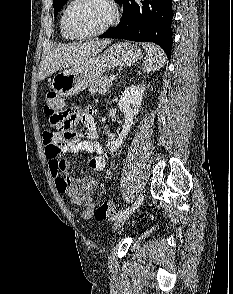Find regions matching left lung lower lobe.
I'll list each match as a JSON object with an SVG mask.
<instances>
[{
	"instance_id": "0a47b994",
	"label": "left lung lower lobe",
	"mask_w": 233,
	"mask_h": 294,
	"mask_svg": "<svg viewBox=\"0 0 233 294\" xmlns=\"http://www.w3.org/2000/svg\"><path fill=\"white\" fill-rule=\"evenodd\" d=\"M123 15L119 24L99 38H118L136 42H153L171 58L173 18L172 0H122Z\"/></svg>"
}]
</instances>
